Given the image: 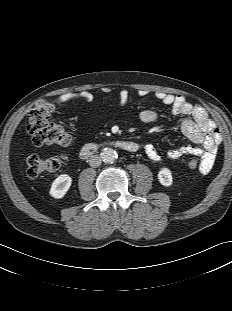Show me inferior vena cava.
I'll use <instances>...</instances> for the list:
<instances>
[{"mask_svg": "<svg viewBox=\"0 0 232 311\" xmlns=\"http://www.w3.org/2000/svg\"><path fill=\"white\" fill-rule=\"evenodd\" d=\"M102 163V158L99 155H92L89 159V165L91 167H99Z\"/></svg>", "mask_w": 232, "mask_h": 311, "instance_id": "602c4592", "label": "inferior vena cava"}]
</instances>
